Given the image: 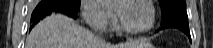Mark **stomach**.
Returning <instances> with one entry per match:
<instances>
[{
	"label": "stomach",
	"instance_id": "1",
	"mask_svg": "<svg viewBox=\"0 0 213 48\" xmlns=\"http://www.w3.org/2000/svg\"><path fill=\"white\" fill-rule=\"evenodd\" d=\"M137 48H155L153 45H149V46H142V47H137Z\"/></svg>",
	"mask_w": 213,
	"mask_h": 48
}]
</instances>
